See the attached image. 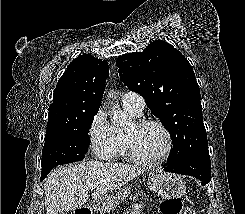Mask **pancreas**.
I'll return each mask as SVG.
<instances>
[{
    "label": "pancreas",
    "instance_id": "cf45deb5",
    "mask_svg": "<svg viewBox=\"0 0 245 214\" xmlns=\"http://www.w3.org/2000/svg\"><path fill=\"white\" fill-rule=\"evenodd\" d=\"M140 193H141V192H138V194H136V195H131V196H130V200H132V199L134 200V199L137 197V195H139Z\"/></svg>",
    "mask_w": 245,
    "mask_h": 214
}]
</instances>
